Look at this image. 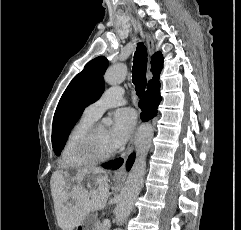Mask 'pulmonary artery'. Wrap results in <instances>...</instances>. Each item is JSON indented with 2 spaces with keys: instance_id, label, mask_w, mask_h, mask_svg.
<instances>
[{
  "instance_id": "obj_1",
  "label": "pulmonary artery",
  "mask_w": 241,
  "mask_h": 230,
  "mask_svg": "<svg viewBox=\"0 0 241 230\" xmlns=\"http://www.w3.org/2000/svg\"><path fill=\"white\" fill-rule=\"evenodd\" d=\"M123 103V89L120 87H111L107 89L99 99L88 105L84 112L97 119L105 110L119 106Z\"/></svg>"
}]
</instances>
